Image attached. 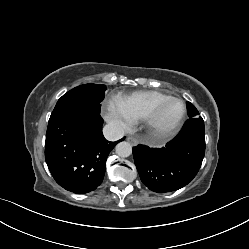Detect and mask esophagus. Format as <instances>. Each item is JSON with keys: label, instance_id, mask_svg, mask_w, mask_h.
Wrapping results in <instances>:
<instances>
[{"label": "esophagus", "instance_id": "obj_1", "mask_svg": "<svg viewBox=\"0 0 249 249\" xmlns=\"http://www.w3.org/2000/svg\"><path fill=\"white\" fill-rule=\"evenodd\" d=\"M126 140L134 146L138 144L137 139H135L134 137H127Z\"/></svg>", "mask_w": 249, "mask_h": 249}]
</instances>
